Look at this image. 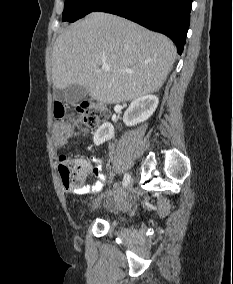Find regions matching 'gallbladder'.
I'll return each mask as SVG.
<instances>
[{
	"instance_id": "obj_1",
	"label": "gallbladder",
	"mask_w": 233,
	"mask_h": 284,
	"mask_svg": "<svg viewBox=\"0 0 233 284\" xmlns=\"http://www.w3.org/2000/svg\"><path fill=\"white\" fill-rule=\"evenodd\" d=\"M87 95L88 90L86 87L73 84L65 90L57 89L54 93V98L63 103L75 104L84 99Z\"/></svg>"
}]
</instances>
